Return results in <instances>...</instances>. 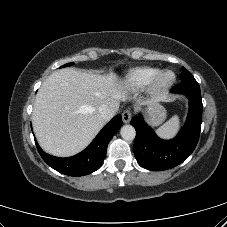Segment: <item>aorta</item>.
Returning a JSON list of instances; mask_svg holds the SVG:
<instances>
[{
    "mask_svg": "<svg viewBox=\"0 0 227 227\" xmlns=\"http://www.w3.org/2000/svg\"><path fill=\"white\" fill-rule=\"evenodd\" d=\"M120 134L124 140H133L136 136L135 128L131 125H124L120 130Z\"/></svg>",
    "mask_w": 227,
    "mask_h": 227,
    "instance_id": "1",
    "label": "aorta"
}]
</instances>
